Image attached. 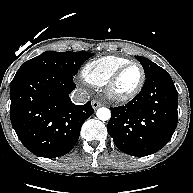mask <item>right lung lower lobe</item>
Wrapping results in <instances>:
<instances>
[{
	"label": "right lung lower lobe",
	"instance_id": "1",
	"mask_svg": "<svg viewBox=\"0 0 193 193\" xmlns=\"http://www.w3.org/2000/svg\"><path fill=\"white\" fill-rule=\"evenodd\" d=\"M72 78L45 72L15 76L11 83L10 119L22 144L35 155L54 158L77 143L81 126L94 110L91 102L75 105Z\"/></svg>",
	"mask_w": 193,
	"mask_h": 193
}]
</instances>
